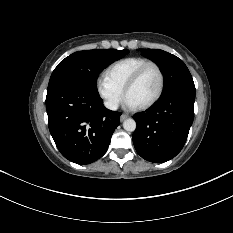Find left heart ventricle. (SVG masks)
Instances as JSON below:
<instances>
[{"mask_svg": "<svg viewBox=\"0 0 233 233\" xmlns=\"http://www.w3.org/2000/svg\"><path fill=\"white\" fill-rule=\"evenodd\" d=\"M159 75L154 67H149L138 82L129 90L127 98L141 106L150 101L158 91Z\"/></svg>", "mask_w": 233, "mask_h": 233, "instance_id": "1", "label": "left heart ventricle"}]
</instances>
